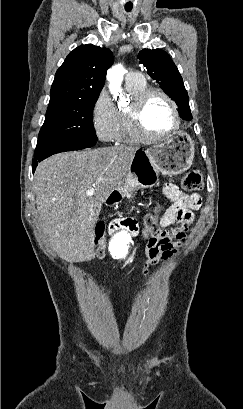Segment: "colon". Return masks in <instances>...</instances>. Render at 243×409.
Returning a JSON list of instances; mask_svg holds the SVG:
<instances>
[{"label":"colon","instance_id":"1","mask_svg":"<svg viewBox=\"0 0 243 409\" xmlns=\"http://www.w3.org/2000/svg\"><path fill=\"white\" fill-rule=\"evenodd\" d=\"M182 186L185 190L190 192L200 191L205 186V181L202 172L199 169H193L187 172L183 178ZM159 215L158 212H152L145 216L144 218V237H157L165 234L166 230L159 225ZM104 237V226L102 224H97L95 227V242L101 243L98 248V254L100 257L105 255V244L103 241Z\"/></svg>","mask_w":243,"mask_h":409}]
</instances>
